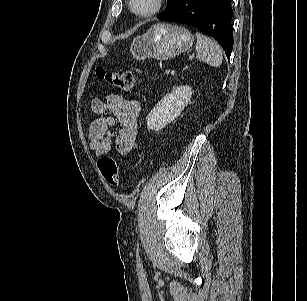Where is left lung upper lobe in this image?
Segmentation results:
<instances>
[{"label":"left lung upper lobe","instance_id":"5c2ea615","mask_svg":"<svg viewBox=\"0 0 307 301\" xmlns=\"http://www.w3.org/2000/svg\"><path fill=\"white\" fill-rule=\"evenodd\" d=\"M179 1L180 0H167V7L158 15V18L170 12L179 3Z\"/></svg>","mask_w":307,"mask_h":301}]
</instances>
